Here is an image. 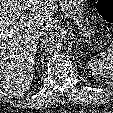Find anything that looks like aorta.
I'll return each mask as SVG.
<instances>
[{
    "instance_id": "aorta-1",
    "label": "aorta",
    "mask_w": 113,
    "mask_h": 113,
    "mask_svg": "<svg viewBox=\"0 0 113 113\" xmlns=\"http://www.w3.org/2000/svg\"><path fill=\"white\" fill-rule=\"evenodd\" d=\"M43 46L51 53L59 51L63 46V38L59 34H51L44 39Z\"/></svg>"
}]
</instances>
